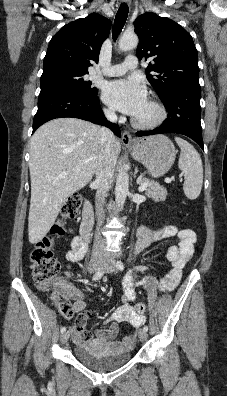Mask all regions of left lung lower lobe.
Masks as SVG:
<instances>
[{
    "label": "left lung lower lobe",
    "instance_id": "left-lung-lower-lobe-1",
    "mask_svg": "<svg viewBox=\"0 0 227 396\" xmlns=\"http://www.w3.org/2000/svg\"><path fill=\"white\" fill-rule=\"evenodd\" d=\"M200 96L201 89L185 88L171 92L168 98L161 100L168 110L167 119L160 127L137 132V136L178 133L190 137L203 149Z\"/></svg>",
    "mask_w": 227,
    "mask_h": 396
}]
</instances>
